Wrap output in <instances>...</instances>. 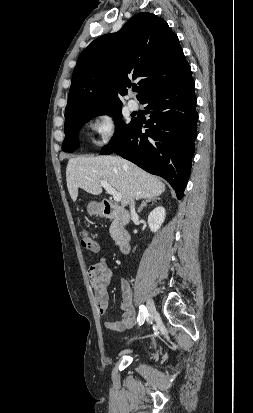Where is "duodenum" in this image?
Returning <instances> with one entry per match:
<instances>
[{"mask_svg": "<svg viewBox=\"0 0 253 413\" xmlns=\"http://www.w3.org/2000/svg\"><path fill=\"white\" fill-rule=\"evenodd\" d=\"M100 210L106 218L116 220L118 229L115 234V243L122 253H128L130 249V236L123 226L129 222V213L124 208L109 201H103L100 205Z\"/></svg>", "mask_w": 253, "mask_h": 413, "instance_id": "1", "label": "duodenum"}]
</instances>
